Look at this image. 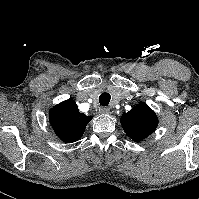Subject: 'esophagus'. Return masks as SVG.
<instances>
[{"mask_svg": "<svg viewBox=\"0 0 199 199\" xmlns=\"http://www.w3.org/2000/svg\"><path fill=\"white\" fill-rule=\"evenodd\" d=\"M101 113L103 114H109L110 113V108L109 107H102L100 109Z\"/></svg>", "mask_w": 199, "mask_h": 199, "instance_id": "34e87169", "label": "esophagus"}]
</instances>
